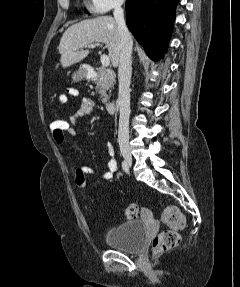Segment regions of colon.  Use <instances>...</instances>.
I'll return each instance as SVG.
<instances>
[{
  "label": "colon",
  "instance_id": "obj_1",
  "mask_svg": "<svg viewBox=\"0 0 240 287\" xmlns=\"http://www.w3.org/2000/svg\"><path fill=\"white\" fill-rule=\"evenodd\" d=\"M51 133L56 139H63L69 128V122L65 118H56L49 124ZM76 184L78 187L84 188L86 186L85 175L77 171L76 172ZM139 209L136 204H129L125 209L126 218L134 220L138 217ZM162 219L167 224L168 229L160 232L152 242V254L153 256L165 253L180 243V235L178 231L185 226V217L181 213L178 207L174 205H168L162 210Z\"/></svg>",
  "mask_w": 240,
  "mask_h": 287
}]
</instances>
